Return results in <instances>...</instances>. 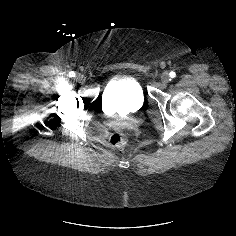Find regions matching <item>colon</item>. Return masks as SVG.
I'll return each mask as SVG.
<instances>
[{"label": "colon", "mask_w": 236, "mask_h": 236, "mask_svg": "<svg viewBox=\"0 0 236 236\" xmlns=\"http://www.w3.org/2000/svg\"><path fill=\"white\" fill-rule=\"evenodd\" d=\"M107 142L112 148L116 150H123L128 143V138L125 133L114 132L108 136Z\"/></svg>", "instance_id": "colon-1"}]
</instances>
